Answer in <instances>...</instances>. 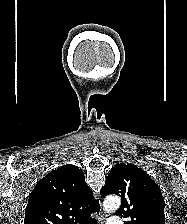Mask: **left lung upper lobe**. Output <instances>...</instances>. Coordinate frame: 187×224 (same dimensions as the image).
Returning a JSON list of instances; mask_svg holds the SVG:
<instances>
[{
  "instance_id": "1",
  "label": "left lung upper lobe",
  "mask_w": 187,
  "mask_h": 224,
  "mask_svg": "<svg viewBox=\"0 0 187 224\" xmlns=\"http://www.w3.org/2000/svg\"><path fill=\"white\" fill-rule=\"evenodd\" d=\"M117 194L121 206L115 215L129 218L125 224H165L164 198L159 186L133 164H116L110 171L101 197Z\"/></svg>"
}]
</instances>
